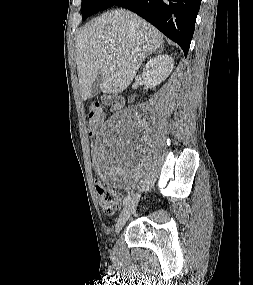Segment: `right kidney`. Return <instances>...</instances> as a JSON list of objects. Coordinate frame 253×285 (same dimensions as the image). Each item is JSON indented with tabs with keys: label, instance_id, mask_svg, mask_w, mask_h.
<instances>
[{
	"label": "right kidney",
	"instance_id": "obj_1",
	"mask_svg": "<svg viewBox=\"0 0 253 285\" xmlns=\"http://www.w3.org/2000/svg\"><path fill=\"white\" fill-rule=\"evenodd\" d=\"M174 60L167 54H160L150 59L145 65L142 77L149 88H154L163 82L172 72Z\"/></svg>",
	"mask_w": 253,
	"mask_h": 285
}]
</instances>
